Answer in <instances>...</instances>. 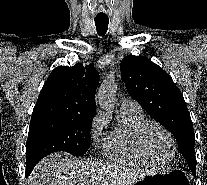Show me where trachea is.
Here are the masks:
<instances>
[{
    "label": "trachea",
    "instance_id": "obj_1",
    "mask_svg": "<svg viewBox=\"0 0 207 185\" xmlns=\"http://www.w3.org/2000/svg\"><path fill=\"white\" fill-rule=\"evenodd\" d=\"M109 19L107 18H97L95 19V25L98 35L101 37L105 35L108 28Z\"/></svg>",
    "mask_w": 207,
    "mask_h": 185
}]
</instances>
